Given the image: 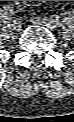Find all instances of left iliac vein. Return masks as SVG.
<instances>
[{
  "label": "left iliac vein",
  "instance_id": "left-iliac-vein-1",
  "mask_svg": "<svg viewBox=\"0 0 74 122\" xmlns=\"http://www.w3.org/2000/svg\"><path fill=\"white\" fill-rule=\"evenodd\" d=\"M32 22L36 25H41V26H45L46 28H48L50 31H54L56 28V25L54 24V22H52L51 20H47L46 18H41V17H34L32 19Z\"/></svg>",
  "mask_w": 74,
  "mask_h": 122
}]
</instances>
